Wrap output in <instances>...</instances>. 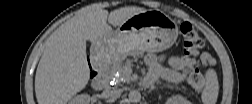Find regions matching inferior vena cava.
Wrapping results in <instances>:
<instances>
[{
  "label": "inferior vena cava",
  "instance_id": "602c4592",
  "mask_svg": "<svg viewBox=\"0 0 252 104\" xmlns=\"http://www.w3.org/2000/svg\"><path fill=\"white\" fill-rule=\"evenodd\" d=\"M122 91L120 89H113L108 92V96L113 99H118L121 96Z\"/></svg>",
  "mask_w": 252,
  "mask_h": 104
}]
</instances>
